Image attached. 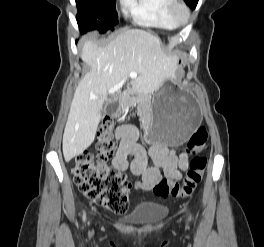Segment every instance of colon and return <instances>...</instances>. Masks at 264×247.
Wrapping results in <instances>:
<instances>
[{
  "mask_svg": "<svg viewBox=\"0 0 264 247\" xmlns=\"http://www.w3.org/2000/svg\"><path fill=\"white\" fill-rule=\"evenodd\" d=\"M207 143V130L199 127L187 143V153L194 156L182 183L160 180L153 188L155 195L166 198L189 197L200 183L207 165L201 155ZM96 156L84 151L76 156L73 180L79 191L95 204L115 213H125L129 207L128 182L123 173L109 166L114 153L113 124L106 120L99 127L95 138Z\"/></svg>",
  "mask_w": 264,
  "mask_h": 247,
  "instance_id": "1",
  "label": "colon"
}]
</instances>
